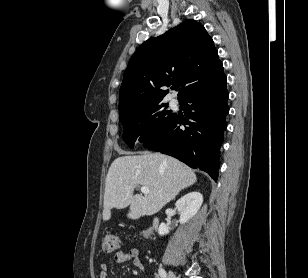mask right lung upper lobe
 Returning a JSON list of instances; mask_svg holds the SVG:
<instances>
[{
  "label": "right lung upper lobe",
  "instance_id": "1",
  "mask_svg": "<svg viewBox=\"0 0 308 278\" xmlns=\"http://www.w3.org/2000/svg\"><path fill=\"white\" fill-rule=\"evenodd\" d=\"M224 75L213 40L205 28L186 20L165 34L145 41L131 57L120 87V119L160 103L177 83L185 95L210 85Z\"/></svg>",
  "mask_w": 308,
  "mask_h": 278
}]
</instances>
